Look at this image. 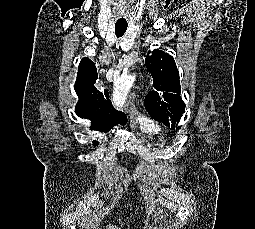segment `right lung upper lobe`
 Instances as JSON below:
<instances>
[{
    "mask_svg": "<svg viewBox=\"0 0 255 229\" xmlns=\"http://www.w3.org/2000/svg\"><path fill=\"white\" fill-rule=\"evenodd\" d=\"M97 78L95 64L89 58H83L74 86L79 98L75 113L80 118L90 119L92 129L108 132L118 124L125 125L127 118L113 107L108 91L101 92L94 86Z\"/></svg>",
    "mask_w": 255,
    "mask_h": 229,
    "instance_id": "obj_1",
    "label": "right lung upper lobe"
}]
</instances>
